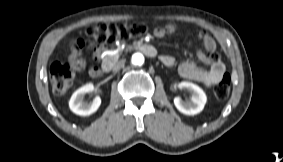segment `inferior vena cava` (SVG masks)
<instances>
[{"label":"inferior vena cava","mask_w":283,"mask_h":162,"mask_svg":"<svg viewBox=\"0 0 283 162\" xmlns=\"http://www.w3.org/2000/svg\"><path fill=\"white\" fill-rule=\"evenodd\" d=\"M122 67H124V61H119L116 64H114L112 70L113 71H118Z\"/></svg>","instance_id":"602c4592"}]
</instances>
